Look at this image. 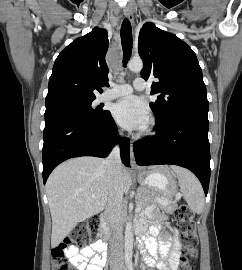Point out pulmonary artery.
<instances>
[{"mask_svg": "<svg viewBox=\"0 0 242 270\" xmlns=\"http://www.w3.org/2000/svg\"><path fill=\"white\" fill-rule=\"evenodd\" d=\"M133 87L136 90H144L147 87V83L143 78H136L133 83ZM133 87L128 84H122L114 86L113 88L105 91L101 95L102 100H111L118 97L126 96L132 93Z\"/></svg>", "mask_w": 242, "mask_h": 270, "instance_id": "e3ab8cb5", "label": "pulmonary artery"}]
</instances>
